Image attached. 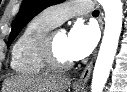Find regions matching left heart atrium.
Segmentation results:
<instances>
[{
  "label": "left heart atrium",
  "mask_w": 127,
  "mask_h": 92,
  "mask_svg": "<svg viewBox=\"0 0 127 92\" xmlns=\"http://www.w3.org/2000/svg\"><path fill=\"white\" fill-rule=\"evenodd\" d=\"M98 40L94 26L82 22L76 23L67 36V53L71 60H80L88 56Z\"/></svg>",
  "instance_id": "39dd6f15"
}]
</instances>
